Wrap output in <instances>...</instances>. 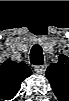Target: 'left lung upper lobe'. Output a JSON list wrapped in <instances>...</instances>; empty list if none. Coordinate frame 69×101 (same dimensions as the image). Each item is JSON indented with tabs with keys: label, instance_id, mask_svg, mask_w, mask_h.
Here are the masks:
<instances>
[{
	"label": "left lung upper lobe",
	"instance_id": "left-lung-upper-lobe-1",
	"mask_svg": "<svg viewBox=\"0 0 69 101\" xmlns=\"http://www.w3.org/2000/svg\"><path fill=\"white\" fill-rule=\"evenodd\" d=\"M56 96L69 84V58L60 55L57 63H52L45 72Z\"/></svg>",
	"mask_w": 69,
	"mask_h": 101
}]
</instances>
